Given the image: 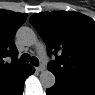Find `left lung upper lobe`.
Returning a JSON list of instances; mask_svg holds the SVG:
<instances>
[{"instance_id": "1", "label": "left lung upper lobe", "mask_w": 95, "mask_h": 95, "mask_svg": "<svg viewBox=\"0 0 95 95\" xmlns=\"http://www.w3.org/2000/svg\"><path fill=\"white\" fill-rule=\"evenodd\" d=\"M56 59L48 65L55 75L95 83V22L71 11L42 12L29 19Z\"/></svg>"}]
</instances>
